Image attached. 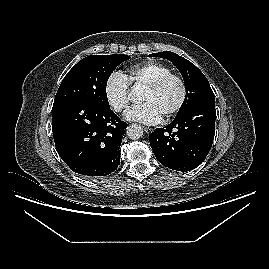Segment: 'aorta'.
Instances as JSON below:
<instances>
[{
	"mask_svg": "<svg viewBox=\"0 0 269 269\" xmlns=\"http://www.w3.org/2000/svg\"><path fill=\"white\" fill-rule=\"evenodd\" d=\"M127 136L132 140H138L143 136V129L138 124H132L127 128Z\"/></svg>",
	"mask_w": 269,
	"mask_h": 269,
	"instance_id": "obj_1",
	"label": "aorta"
}]
</instances>
